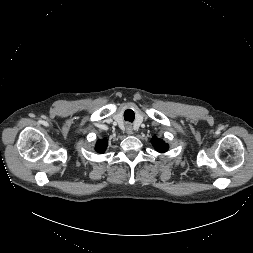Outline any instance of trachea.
Returning a JSON list of instances; mask_svg holds the SVG:
<instances>
[{
	"instance_id": "3493384b",
	"label": "trachea",
	"mask_w": 253,
	"mask_h": 253,
	"mask_svg": "<svg viewBox=\"0 0 253 253\" xmlns=\"http://www.w3.org/2000/svg\"><path fill=\"white\" fill-rule=\"evenodd\" d=\"M124 119H125V121L133 122L134 119H135V113H134V111L131 110V109H127L124 112Z\"/></svg>"
}]
</instances>
